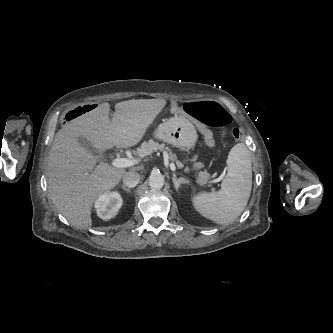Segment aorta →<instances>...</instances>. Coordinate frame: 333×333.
I'll return each instance as SVG.
<instances>
[{
	"label": "aorta",
	"mask_w": 333,
	"mask_h": 333,
	"mask_svg": "<svg viewBox=\"0 0 333 333\" xmlns=\"http://www.w3.org/2000/svg\"><path fill=\"white\" fill-rule=\"evenodd\" d=\"M164 185V178L160 172H152L149 176V186L153 189H161Z\"/></svg>",
	"instance_id": "762f6f07"
}]
</instances>
